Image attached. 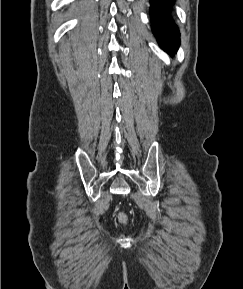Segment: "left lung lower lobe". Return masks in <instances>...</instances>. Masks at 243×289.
Segmentation results:
<instances>
[{"instance_id":"0a47b994","label":"left lung lower lobe","mask_w":243,"mask_h":289,"mask_svg":"<svg viewBox=\"0 0 243 289\" xmlns=\"http://www.w3.org/2000/svg\"><path fill=\"white\" fill-rule=\"evenodd\" d=\"M152 29L161 48L169 54L177 51L180 43L179 31L169 16L174 0H150Z\"/></svg>"}]
</instances>
